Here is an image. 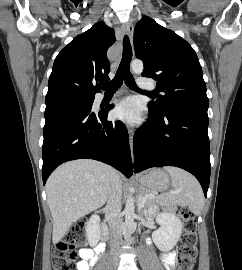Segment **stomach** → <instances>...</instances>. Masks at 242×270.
Here are the masks:
<instances>
[{"label": "stomach", "instance_id": "obj_1", "mask_svg": "<svg viewBox=\"0 0 242 270\" xmlns=\"http://www.w3.org/2000/svg\"><path fill=\"white\" fill-rule=\"evenodd\" d=\"M140 183L142 186L141 192L162 191L168 188L170 180L166 172L161 169H155L141 177Z\"/></svg>", "mask_w": 242, "mask_h": 270}]
</instances>
